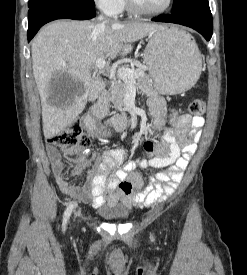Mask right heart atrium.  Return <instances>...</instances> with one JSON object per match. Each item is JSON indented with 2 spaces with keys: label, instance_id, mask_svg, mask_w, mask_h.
<instances>
[{
  "label": "right heart atrium",
  "instance_id": "obj_1",
  "mask_svg": "<svg viewBox=\"0 0 247 275\" xmlns=\"http://www.w3.org/2000/svg\"><path fill=\"white\" fill-rule=\"evenodd\" d=\"M96 6L105 14L114 16L121 10L122 0H94Z\"/></svg>",
  "mask_w": 247,
  "mask_h": 275
}]
</instances>
